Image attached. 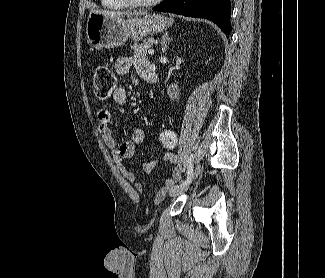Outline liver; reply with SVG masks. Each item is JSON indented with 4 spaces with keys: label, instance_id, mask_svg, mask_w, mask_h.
<instances>
[{
    "label": "liver",
    "instance_id": "1",
    "mask_svg": "<svg viewBox=\"0 0 325 278\" xmlns=\"http://www.w3.org/2000/svg\"><path fill=\"white\" fill-rule=\"evenodd\" d=\"M91 12H99L103 15H108V16H113V17H123L125 15L141 16V15L146 14V12L122 13V12H115V11H109V10H92Z\"/></svg>",
    "mask_w": 325,
    "mask_h": 278
}]
</instances>
